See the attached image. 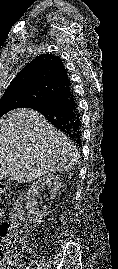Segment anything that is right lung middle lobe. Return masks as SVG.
I'll use <instances>...</instances> for the list:
<instances>
[{"instance_id": "1", "label": "right lung middle lobe", "mask_w": 118, "mask_h": 269, "mask_svg": "<svg viewBox=\"0 0 118 269\" xmlns=\"http://www.w3.org/2000/svg\"><path fill=\"white\" fill-rule=\"evenodd\" d=\"M31 99L29 95L25 94L13 93L3 95L0 99V117L13 109L26 107Z\"/></svg>"}]
</instances>
